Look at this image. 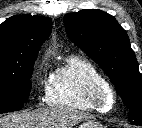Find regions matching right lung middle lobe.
Segmentation results:
<instances>
[{
  "label": "right lung middle lobe",
  "mask_w": 142,
  "mask_h": 128,
  "mask_svg": "<svg viewBox=\"0 0 142 128\" xmlns=\"http://www.w3.org/2000/svg\"><path fill=\"white\" fill-rule=\"evenodd\" d=\"M35 60L23 64L12 73L0 74V114L17 111L27 102Z\"/></svg>",
  "instance_id": "obj_1"
}]
</instances>
